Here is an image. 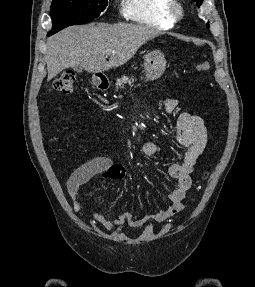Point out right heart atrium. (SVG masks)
<instances>
[{
    "label": "right heart atrium",
    "instance_id": "obj_1",
    "mask_svg": "<svg viewBox=\"0 0 255 287\" xmlns=\"http://www.w3.org/2000/svg\"><path fill=\"white\" fill-rule=\"evenodd\" d=\"M106 48H125V47H106Z\"/></svg>",
    "mask_w": 255,
    "mask_h": 287
}]
</instances>
